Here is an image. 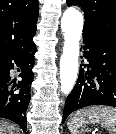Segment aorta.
Returning a JSON list of instances; mask_svg holds the SVG:
<instances>
[{
    "mask_svg": "<svg viewBox=\"0 0 116 134\" xmlns=\"http://www.w3.org/2000/svg\"><path fill=\"white\" fill-rule=\"evenodd\" d=\"M64 34L63 54L60 59L61 91L68 95L78 75L79 43L83 29V16L75 8H68L61 19Z\"/></svg>",
    "mask_w": 116,
    "mask_h": 134,
    "instance_id": "obj_1",
    "label": "aorta"
}]
</instances>
